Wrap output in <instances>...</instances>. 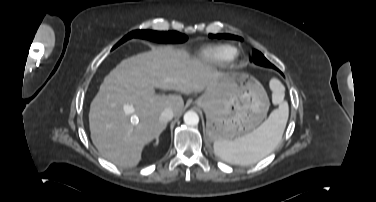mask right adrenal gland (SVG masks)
Segmentation results:
<instances>
[{"label": "right adrenal gland", "instance_id": "2a0ac1e0", "mask_svg": "<svg viewBox=\"0 0 376 202\" xmlns=\"http://www.w3.org/2000/svg\"><path fill=\"white\" fill-rule=\"evenodd\" d=\"M158 143H159V138L157 137V138H156V143H155V144L158 145Z\"/></svg>", "mask_w": 376, "mask_h": 202}]
</instances>
